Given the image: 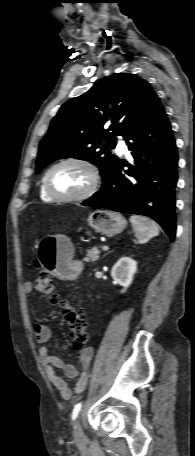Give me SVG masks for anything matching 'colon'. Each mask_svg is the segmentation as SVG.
<instances>
[{
	"label": "colon",
	"instance_id": "5ec220e1",
	"mask_svg": "<svg viewBox=\"0 0 195 456\" xmlns=\"http://www.w3.org/2000/svg\"><path fill=\"white\" fill-rule=\"evenodd\" d=\"M33 288L51 298L53 303H59L62 306L63 313L70 330L72 344L76 350H85L88 342L87 322L82 312L75 309L66 301H58L55 293V286L50 275L44 271L40 272L37 279L33 282Z\"/></svg>",
	"mask_w": 195,
	"mask_h": 456
}]
</instances>
